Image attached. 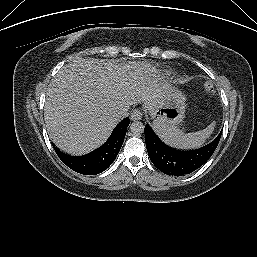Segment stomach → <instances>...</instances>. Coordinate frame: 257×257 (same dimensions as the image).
I'll return each instance as SVG.
<instances>
[{
	"label": "stomach",
	"instance_id": "0dacf381",
	"mask_svg": "<svg viewBox=\"0 0 257 257\" xmlns=\"http://www.w3.org/2000/svg\"><path fill=\"white\" fill-rule=\"evenodd\" d=\"M186 98L183 93L172 86H166L162 98L149 109L153 124L160 127L178 125L184 119Z\"/></svg>",
	"mask_w": 257,
	"mask_h": 257
}]
</instances>
